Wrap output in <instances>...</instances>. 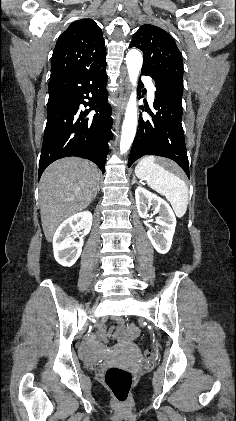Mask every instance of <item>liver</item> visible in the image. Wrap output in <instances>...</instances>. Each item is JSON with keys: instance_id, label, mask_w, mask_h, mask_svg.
Returning a JSON list of instances; mask_svg holds the SVG:
<instances>
[{"instance_id": "6515ba94", "label": "liver", "mask_w": 236, "mask_h": 421, "mask_svg": "<svg viewBox=\"0 0 236 421\" xmlns=\"http://www.w3.org/2000/svg\"><path fill=\"white\" fill-rule=\"evenodd\" d=\"M99 180L96 164L78 156L59 158L44 170L39 200L42 229L48 243L65 219L89 206Z\"/></svg>"}]
</instances>
